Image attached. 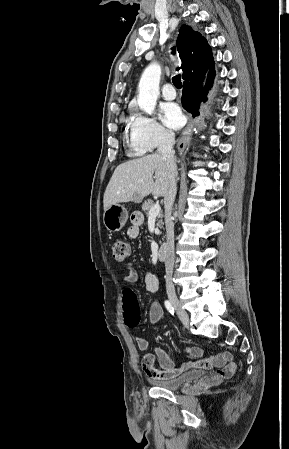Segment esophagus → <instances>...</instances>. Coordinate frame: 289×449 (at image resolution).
<instances>
[{"instance_id": "1", "label": "esophagus", "mask_w": 289, "mask_h": 449, "mask_svg": "<svg viewBox=\"0 0 289 449\" xmlns=\"http://www.w3.org/2000/svg\"><path fill=\"white\" fill-rule=\"evenodd\" d=\"M188 123L183 131L182 137L180 138L177 148L178 150L181 152L184 150V148L186 147L187 143H188V135L191 131V127H192V121H191V117L190 115L188 116Z\"/></svg>"}]
</instances>
